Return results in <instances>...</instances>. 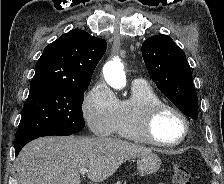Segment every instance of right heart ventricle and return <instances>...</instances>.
Returning a JSON list of instances; mask_svg holds the SVG:
<instances>
[{
	"label": "right heart ventricle",
	"instance_id": "1",
	"mask_svg": "<svg viewBox=\"0 0 224 184\" xmlns=\"http://www.w3.org/2000/svg\"><path fill=\"white\" fill-rule=\"evenodd\" d=\"M157 93L147 84H132L130 96L118 100L113 134L135 142H144L138 131V120L143 110L151 103L159 102Z\"/></svg>",
	"mask_w": 224,
	"mask_h": 184
}]
</instances>
